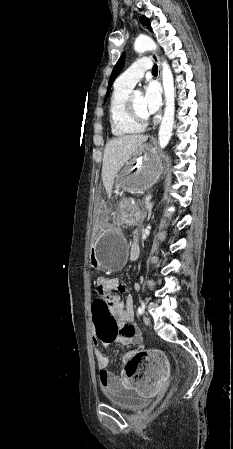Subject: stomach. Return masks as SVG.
<instances>
[{
    "mask_svg": "<svg viewBox=\"0 0 233 449\" xmlns=\"http://www.w3.org/2000/svg\"><path fill=\"white\" fill-rule=\"evenodd\" d=\"M163 170L161 160L152 146L143 144L126 167L117 176L115 192L122 190L142 192L149 189L158 179ZM104 209L110 208L109 202L103 203ZM113 212H96L95 220L98 225V237L92 243L90 261L97 270H120L126 260L127 242L120 229L114 228Z\"/></svg>",
    "mask_w": 233,
    "mask_h": 449,
    "instance_id": "stomach-1",
    "label": "stomach"
}]
</instances>
